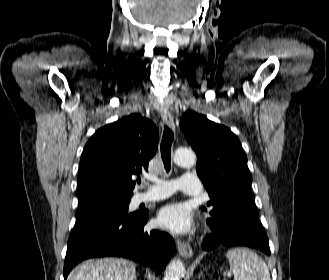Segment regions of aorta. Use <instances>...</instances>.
Masks as SVG:
<instances>
[{
    "label": "aorta",
    "instance_id": "762f6f07",
    "mask_svg": "<svg viewBox=\"0 0 329 280\" xmlns=\"http://www.w3.org/2000/svg\"><path fill=\"white\" fill-rule=\"evenodd\" d=\"M196 156L192 150L179 148L174 153V162L179 166H192ZM185 267L180 259H173L167 266L163 280H181L184 276Z\"/></svg>",
    "mask_w": 329,
    "mask_h": 280
}]
</instances>
